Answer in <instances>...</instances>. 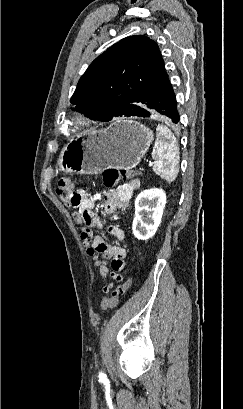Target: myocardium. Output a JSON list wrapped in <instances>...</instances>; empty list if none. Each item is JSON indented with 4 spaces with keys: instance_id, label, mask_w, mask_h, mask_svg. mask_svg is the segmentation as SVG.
<instances>
[{
    "instance_id": "myocardium-1",
    "label": "myocardium",
    "mask_w": 243,
    "mask_h": 409,
    "mask_svg": "<svg viewBox=\"0 0 243 409\" xmlns=\"http://www.w3.org/2000/svg\"><path fill=\"white\" fill-rule=\"evenodd\" d=\"M90 118L86 116L84 113L76 111L72 113L67 119L66 123L69 125L71 128H85L90 125Z\"/></svg>"
}]
</instances>
